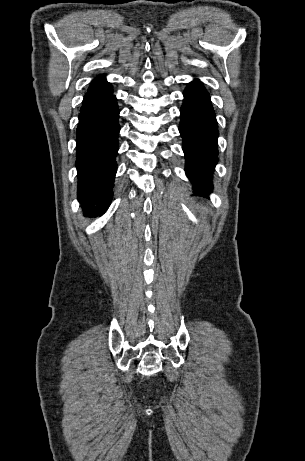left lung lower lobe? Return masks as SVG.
<instances>
[{
  "mask_svg": "<svg viewBox=\"0 0 305 461\" xmlns=\"http://www.w3.org/2000/svg\"><path fill=\"white\" fill-rule=\"evenodd\" d=\"M186 157V173L202 196L212 192L211 175L218 162V126L209 94L195 80L184 91L179 128Z\"/></svg>",
  "mask_w": 305,
  "mask_h": 461,
  "instance_id": "1",
  "label": "left lung lower lobe"
}]
</instances>
